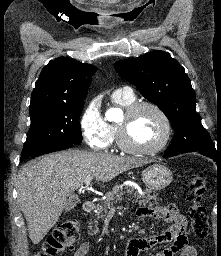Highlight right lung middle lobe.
Instances as JSON below:
<instances>
[{
  "instance_id": "1",
  "label": "right lung middle lobe",
  "mask_w": 221,
  "mask_h": 256,
  "mask_svg": "<svg viewBox=\"0 0 221 256\" xmlns=\"http://www.w3.org/2000/svg\"><path fill=\"white\" fill-rule=\"evenodd\" d=\"M83 107L84 102H79L30 110L31 126L21 159L57 144H80L82 133L79 118Z\"/></svg>"
}]
</instances>
